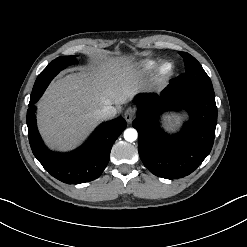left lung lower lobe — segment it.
Returning <instances> with one entry per match:
<instances>
[{
  "label": "left lung lower lobe",
  "instance_id": "0a47b994",
  "mask_svg": "<svg viewBox=\"0 0 247 247\" xmlns=\"http://www.w3.org/2000/svg\"><path fill=\"white\" fill-rule=\"evenodd\" d=\"M132 125L138 131V152L145 167L166 179L183 178L209 155L215 137L217 107L213 86H186L176 80L161 95H139ZM185 109L190 116L182 130L166 134L153 121L166 110Z\"/></svg>",
  "mask_w": 247,
  "mask_h": 247
}]
</instances>
